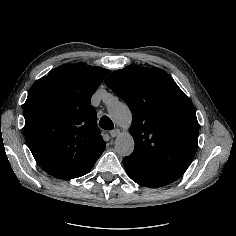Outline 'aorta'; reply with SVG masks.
Returning a JSON list of instances; mask_svg holds the SVG:
<instances>
[{"instance_id":"aorta-1","label":"aorta","mask_w":236,"mask_h":236,"mask_svg":"<svg viewBox=\"0 0 236 236\" xmlns=\"http://www.w3.org/2000/svg\"><path fill=\"white\" fill-rule=\"evenodd\" d=\"M108 113L112 120L119 126L128 128L132 122L129 107L120 101H111ZM135 142L128 132L120 133L115 140V152L120 156H129L134 150Z\"/></svg>"}]
</instances>
